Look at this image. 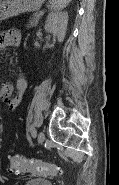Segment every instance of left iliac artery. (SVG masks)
<instances>
[{
	"mask_svg": "<svg viewBox=\"0 0 119 185\" xmlns=\"http://www.w3.org/2000/svg\"><path fill=\"white\" fill-rule=\"evenodd\" d=\"M30 132H31L33 137H36L37 131H36V129L34 127L30 128Z\"/></svg>",
	"mask_w": 119,
	"mask_h": 185,
	"instance_id": "1",
	"label": "left iliac artery"
}]
</instances>
